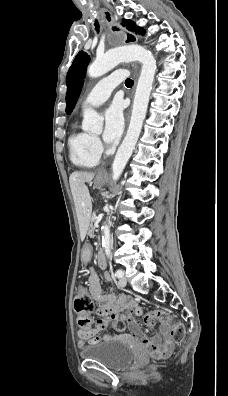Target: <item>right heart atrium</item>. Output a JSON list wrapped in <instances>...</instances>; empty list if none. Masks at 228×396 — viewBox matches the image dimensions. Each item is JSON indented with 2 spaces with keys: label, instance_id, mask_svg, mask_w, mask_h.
Listing matches in <instances>:
<instances>
[{
  "label": "right heart atrium",
  "instance_id": "obj_1",
  "mask_svg": "<svg viewBox=\"0 0 228 396\" xmlns=\"http://www.w3.org/2000/svg\"><path fill=\"white\" fill-rule=\"evenodd\" d=\"M94 142H95V146H96L97 150L100 152L102 149L100 141L95 138Z\"/></svg>",
  "mask_w": 228,
  "mask_h": 396
}]
</instances>
